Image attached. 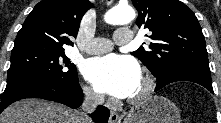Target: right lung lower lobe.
Wrapping results in <instances>:
<instances>
[{
  "instance_id": "obj_1",
  "label": "right lung lower lobe",
  "mask_w": 221,
  "mask_h": 123,
  "mask_svg": "<svg viewBox=\"0 0 221 123\" xmlns=\"http://www.w3.org/2000/svg\"><path fill=\"white\" fill-rule=\"evenodd\" d=\"M25 98H41L77 108L82 103L83 92L77 77L67 82L48 83L39 78L10 82L3 94L0 113L13 102ZM109 116L110 111L104 106H98L91 114L95 123H107Z\"/></svg>"
}]
</instances>
